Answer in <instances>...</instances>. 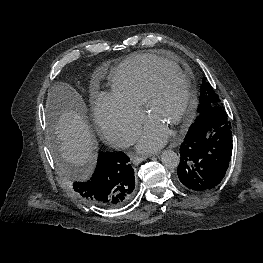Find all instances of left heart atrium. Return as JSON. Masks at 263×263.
Masks as SVG:
<instances>
[{"label": "left heart atrium", "instance_id": "39dd6f15", "mask_svg": "<svg viewBox=\"0 0 263 263\" xmlns=\"http://www.w3.org/2000/svg\"><path fill=\"white\" fill-rule=\"evenodd\" d=\"M168 137L169 133L163 126L149 119L141 132L138 149L144 152L156 150L166 143Z\"/></svg>", "mask_w": 263, "mask_h": 263}]
</instances>
